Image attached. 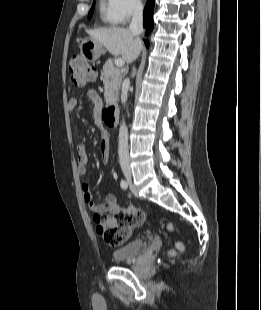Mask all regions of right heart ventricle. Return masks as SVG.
<instances>
[{
    "label": "right heart ventricle",
    "mask_w": 261,
    "mask_h": 310,
    "mask_svg": "<svg viewBox=\"0 0 261 310\" xmlns=\"http://www.w3.org/2000/svg\"><path fill=\"white\" fill-rule=\"evenodd\" d=\"M99 15L104 24L117 25L114 15L113 0H99Z\"/></svg>",
    "instance_id": "1"
}]
</instances>
